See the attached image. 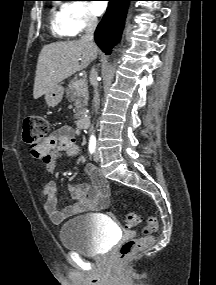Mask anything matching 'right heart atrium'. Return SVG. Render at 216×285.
Listing matches in <instances>:
<instances>
[{"mask_svg": "<svg viewBox=\"0 0 216 285\" xmlns=\"http://www.w3.org/2000/svg\"><path fill=\"white\" fill-rule=\"evenodd\" d=\"M62 10L71 35H77L97 24V17L86 1L71 0L63 5Z\"/></svg>", "mask_w": 216, "mask_h": 285, "instance_id": "d8ad5b80", "label": "right heart atrium"}]
</instances>
